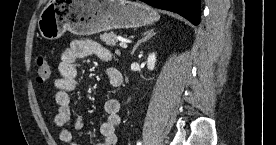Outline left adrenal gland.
Segmentation results:
<instances>
[{
	"label": "left adrenal gland",
	"mask_w": 276,
	"mask_h": 145,
	"mask_svg": "<svg viewBox=\"0 0 276 145\" xmlns=\"http://www.w3.org/2000/svg\"><path fill=\"white\" fill-rule=\"evenodd\" d=\"M155 34H156V33L154 32V29H151V30H149V31L144 32V34H143L144 37H143L141 40H139V41L135 44V46L133 47L132 54H134L135 50L139 47V45H140L141 43H144V42L148 41V40H149L150 38H152Z\"/></svg>",
	"instance_id": "1"
}]
</instances>
